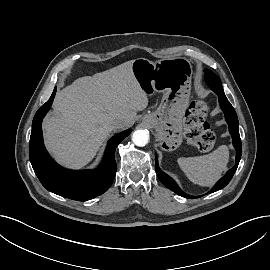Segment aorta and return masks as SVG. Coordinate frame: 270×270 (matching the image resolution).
Returning <instances> with one entry per match:
<instances>
[{
    "label": "aorta",
    "mask_w": 270,
    "mask_h": 270,
    "mask_svg": "<svg viewBox=\"0 0 270 270\" xmlns=\"http://www.w3.org/2000/svg\"><path fill=\"white\" fill-rule=\"evenodd\" d=\"M132 141L136 146H145L149 142V132L147 130H136L132 135Z\"/></svg>",
    "instance_id": "aorta-1"
}]
</instances>
